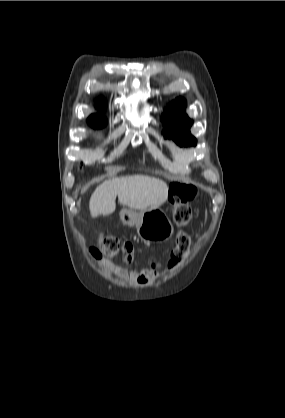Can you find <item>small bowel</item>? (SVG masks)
I'll return each mask as SVG.
<instances>
[{
    "label": "small bowel",
    "instance_id": "obj_1",
    "mask_svg": "<svg viewBox=\"0 0 285 418\" xmlns=\"http://www.w3.org/2000/svg\"><path fill=\"white\" fill-rule=\"evenodd\" d=\"M104 267L107 270L114 272L115 274H117L120 277H125L126 276L125 271L116 264L105 263ZM129 277L132 280H134L135 282H137L138 284H141V285H145L148 282H153V281L157 280V278H158V276L155 273H153L151 271H147V270H139V271L131 272L129 274Z\"/></svg>",
    "mask_w": 285,
    "mask_h": 418
}]
</instances>
